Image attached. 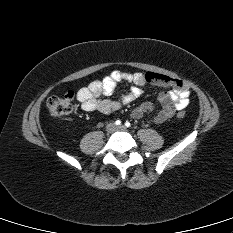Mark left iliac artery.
<instances>
[{
  "label": "left iliac artery",
  "instance_id": "44dca946",
  "mask_svg": "<svg viewBox=\"0 0 233 233\" xmlns=\"http://www.w3.org/2000/svg\"><path fill=\"white\" fill-rule=\"evenodd\" d=\"M125 126H126V127H130V126H131L130 122L127 121V122L125 123Z\"/></svg>",
  "mask_w": 233,
  "mask_h": 233
}]
</instances>
